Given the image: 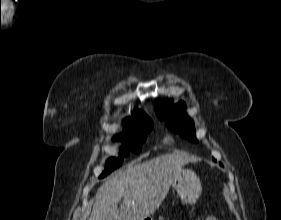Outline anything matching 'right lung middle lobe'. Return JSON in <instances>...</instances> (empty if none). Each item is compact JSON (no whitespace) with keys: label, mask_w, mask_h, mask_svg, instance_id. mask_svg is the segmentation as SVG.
I'll return each instance as SVG.
<instances>
[{"label":"right lung middle lobe","mask_w":281,"mask_h":220,"mask_svg":"<svg viewBox=\"0 0 281 220\" xmlns=\"http://www.w3.org/2000/svg\"><path fill=\"white\" fill-rule=\"evenodd\" d=\"M153 123L150 118L146 117L134 123L126 125V132L122 136H116V139H121L124 145L121 147L118 158H110L107 163L106 170L100 177H104L114 169L118 168L123 163V158L129 155V150L134 153L141 151V146L147 138V134L152 130Z\"/></svg>","instance_id":"1"}]
</instances>
